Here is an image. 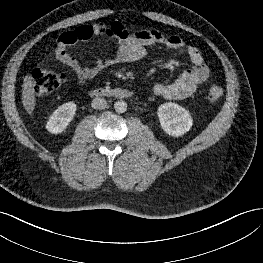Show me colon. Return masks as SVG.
Here are the masks:
<instances>
[{
  "label": "colon",
  "instance_id": "5ec220e1",
  "mask_svg": "<svg viewBox=\"0 0 263 263\" xmlns=\"http://www.w3.org/2000/svg\"><path fill=\"white\" fill-rule=\"evenodd\" d=\"M33 90L37 95L46 96L59 88L65 80L64 74H56L46 68H35L32 71ZM224 93L223 87L218 83H212L207 90L208 99L219 100Z\"/></svg>",
  "mask_w": 263,
  "mask_h": 263
}]
</instances>
